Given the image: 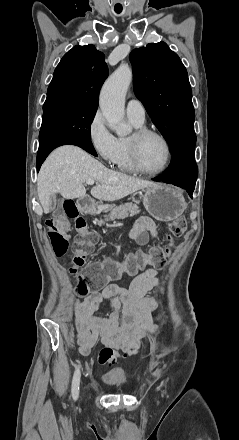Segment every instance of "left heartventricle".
Listing matches in <instances>:
<instances>
[{"label": "left heart ventricle", "instance_id": "1", "mask_svg": "<svg viewBox=\"0 0 239 440\" xmlns=\"http://www.w3.org/2000/svg\"><path fill=\"white\" fill-rule=\"evenodd\" d=\"M139 155L142 165L149 171L161 169L167 159V151L163 141L152 135L140 141Z\"/></svg>", "mask_w": 239, "mask_h": 440}]
</instances>
